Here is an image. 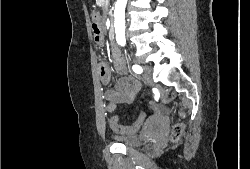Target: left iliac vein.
Listing matches in <instances>:
<instances>
[{
	"instance_id": "4c4485c4",
	"label": "left iliac vein",
	"mask_w": 250,
	"mask_h": 169,
	"mask_svg": "<svg viewBox=\"0 0 250 169\" xmlns=\"http://www.w3.org/2000/svg\"><path fill=\"white\" fill-rule=\"evenodd\" d=\"M143 70L144 71L142 77L146 80L147 83L149 84L153 83V76H152L153 68L146 65L144 66Z\"/></svg>"
}]
</instances>
